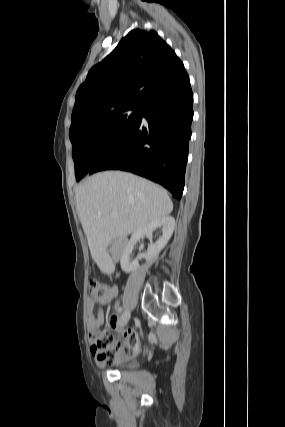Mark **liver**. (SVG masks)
<instances>
[{
    "mask_svg": "<svg viewBox=\"0 0 285 427\" xmlns=\"http://www.w3.org/2000/svg\"><path fill=\"white\" fill-rule=\"evenodd\" d=\"M76 208L98 265L111 262L107 248L151 222L168 216L173 203L160 186L131 173H97L75 189ZM118 216L112 217L111 212Z\"/></svg>",
    "mask_w": 285,
    "mask_h": 427,
    "instance_id": "1",
    "label": "liver"
}]
</instances>
